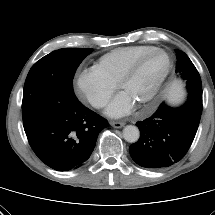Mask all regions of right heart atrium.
<instances>
[{"label": "right heart atrium", "mask_w": 215, "mask_h": 215, "mask_svg": "<svg viewBox=\"0 0 215 215\" xmlns=\"http://www.w3.org/2000/svg\"><path fill=\"white\" fill-rule=\"evenodd\" d=\"M74 88L77 95L96 109L104 107L113 95L116 85L104 77L95 67L76 73Z\"/></svg>", "instance_id": "d8ad5b80"}]
</instances>
